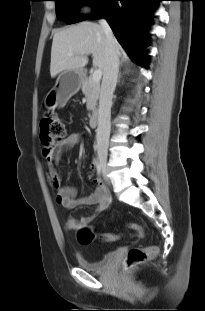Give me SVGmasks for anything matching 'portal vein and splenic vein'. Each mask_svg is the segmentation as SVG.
Segmentation results:
<instances>
[{
    "label": "portal vein and splenic vein",
    "instance_id": "18ae733b",
    "mask_svg": "<svg viewBox=\"0 0 205 311\" xmlns=\"http://www.w3.org/2000/svg\"><path fill=\"white\" fill-rule=\"evenodd\" d=\"M68 55L72 56L73 54L69 53ZM101 77H102V71L100 69H96L92 75V81L98 83L100 82Z\"/></svg>",
    "mask_w": 205,
    "mask_h": 311
}]
</instances>
